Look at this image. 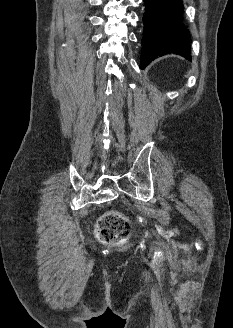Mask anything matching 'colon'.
Returning a JSON list of instances; mask_svg holds the SVG:
<instances>
[{"mask_svg": "<svg viewBox=\"0 0 233 328\" xmlns=\"http://www.w3.org/2000/svg\"><path fill=\"white\" fill-rule=\"evenodd\" d=\"M130 234L128 219L117 211L103 214L96 226L97 239L103 244H118L125 241Z\"/></svg>", "mask_w": 233, "mask_h": 328, "instance_id": "1", "label": "colon"}]
</instances>
